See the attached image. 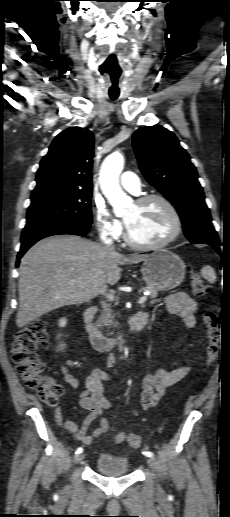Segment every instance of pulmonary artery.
Listing matches in <instances>:
<instances>
[{
	"mask_svg": "<svg viewBox=\"0 0 230 517\" xmlns=\"http://www.w3.org/2000/svg\"><path fill=\"white\" fill-rule=\"evenodd\" d=\"M120 183L125 190L132 194L137 195L141 191L139 178L133 172H124L120 178Z\"/></svg>",
	"mask_w": 230,
	"mask_h": 517,
	"instance_id": "obj_1",
	"label": "pulmonary artery"
}]
</instances>
